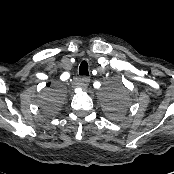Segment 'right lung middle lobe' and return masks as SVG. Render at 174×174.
I'll list each match as a JSON object with an SVG mask.
<instances>
[{
  "label": "right lung middle lobe",
  "instance_id": "obj_1",
  "mask_svg": "<svg viewBox=\"0 0 174 174\" xmlns=\"http://www.w3.org/2000/svg\"><path fill=\"white\" fill-rule=\"evenodd\" d=\"M61 102L62 96L60 94L50 93L42 99L40 105L45 112L52 113L59 109Z\"/></svg>",
  "mask_w": 174,
  "mask_h": 174
}]
</instances>
